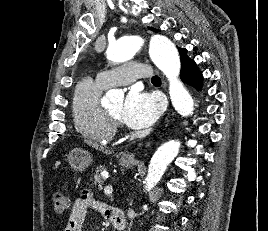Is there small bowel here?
<instances>
[{"label": "small bowel", "instance_id": "obj_1", "mask_svg": "<svg viewBox=\"0 0 268 231\" xmlns=\"http://www.w3.org/2000/svg\"><path fill=\"white\" fill-rule=\"evenodd\" d=\"M89 209H96L110 219L112 210L94 201L89 190L82 192L81 197L73 202L68 222L63 231H83V223Z\"/></svg>", "mask_w": 268, "mask_h": 231}]
</instances>
